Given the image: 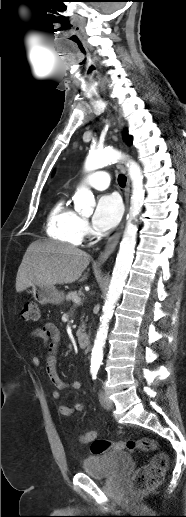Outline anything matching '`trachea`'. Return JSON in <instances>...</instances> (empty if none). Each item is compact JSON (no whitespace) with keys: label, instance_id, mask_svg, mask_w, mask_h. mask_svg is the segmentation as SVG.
Wrapping results in <instances>:
<instances>
[{"label":"trachea","instance_id":"3493384b","mask_svg":"<svg viewBox=\"0 0 186 517\" xmlns=\"http://www.w3.org/2000/svg\"><path fill=\"white\" fill-rule=\"evenodd\" d=\"M118 184L121 186V187H124L125 184H126V177L123 176V175H120L118 177Z\"/></svg>","mask_w":186,"mask_h":517}]
</instances>
